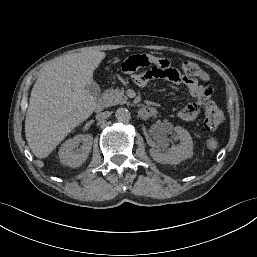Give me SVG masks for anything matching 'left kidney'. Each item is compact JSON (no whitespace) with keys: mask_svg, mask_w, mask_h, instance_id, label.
<instances>
[{"mask_svg":"<svg viewBox=\"0 0 257 257\" xmlns=\"http://www.w3.org/2000/svg\"><path fill=\"white\" fill-rule=\"evenodd\" d=\"M180 143L177 146L168 148V138L166 133L162 132L157 136L158 149L151 148L150 155L161 164H179L181 161L190 158L193 154V141L187 130L181 126L174 128Z\"/></svg>","mask_w":257,"mask_h":257,"instance_id":"obj_1","label":"left kidney"}]
</instances>
